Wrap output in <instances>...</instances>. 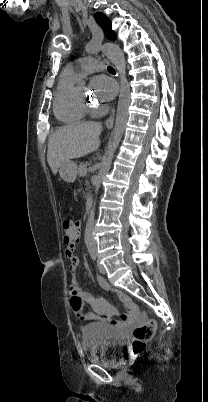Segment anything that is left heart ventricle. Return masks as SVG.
I'll list each match as a JSON object with an SVG mask.
<instances>
[{"label":"left heart ventricle","mask_w":208,"mask_h":402,"mask_svg":"<svg viewBox=\"0 0 208 402\" xmlns=\"http://www.w3.org/2000/svg\"><path fill=\"white\" fill-rule=\"evenodd\" d=\"M80 89L84 91V87H83V86H82ZM100 97H101V95H99L98 97H96L95 100H100Z\"/></svg>","instance_id":"obj_1"}]
</instances>
